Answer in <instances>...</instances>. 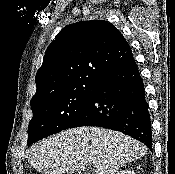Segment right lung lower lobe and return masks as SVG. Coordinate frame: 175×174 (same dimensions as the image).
Returning a JSON list of instances; mask_svg holds the SVG:
<instances>
[{
	"label": "right lung lower lobe",
	"mask_w": 175,
	"mask_h": 174,
	"mask_svg": "<svg viewBox=\"0 0 175 174\" xmlns=\"http://www.w3.org/2000/svg\"><path fill=\"white\" fill-rule=\"evenodd\" d=\"M144 84L134 59L107 72L68 128L98 126L120 131L152 150V131Z\"/></svg>",
	"instance_id": "98d812e1"
}]
</instances>
